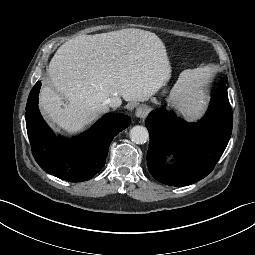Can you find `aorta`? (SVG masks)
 Returning <instances> with one entry per match:
<instances>
[{"label":"aorta","mask_w":255,"mask_h":255,"mask_svg":"<svg viewBox=\"0 0 255 255\" xmlns=\"http://www.w3.org/2000/svg\"><path fill=\"white\" fill-rule=\"evenodd\" d=\"M129 137L136 144H144L149 138V133L145 127L137 125L131 128Z\"/></svg>","instance_id":"obj_1"}]
</instances>
